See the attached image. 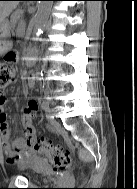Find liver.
Wrapping results in <instances>:
<instances>
[{"instance_id": "6515ba94", "label": "liver", "mask_w": 137, "mask_h": 189, "mask_svg": "<svg viewBox=\"0 0 137 189\" xmlns=\"http://www.w3.org/2000/svg\"><path fill=\"white\" fill-rule=\"evenodd\" d=\"M19 1H0V28L2 29L6 17L17 7Z\"/></svg>"}]
</instances>
